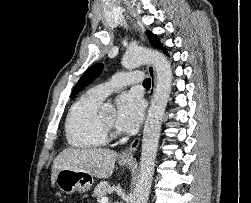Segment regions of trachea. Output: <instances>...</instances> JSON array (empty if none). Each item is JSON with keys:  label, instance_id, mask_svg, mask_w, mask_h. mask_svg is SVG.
Instances as JSON below:
<instances>
[{"label": "trachea", "instance_id": "1", "mask_svg": "<svg viewBox=\"0 0 251 203\" xmlns=\"http://www.w3.org/2000/svg\"><path fill=\"white\" fill-rule=\"evenodd\" d=\"M151 85V80L150 78H146L144 81H143V86H149L150 87Z\"/></svg>", "mask_w": 251, "mask_h": 203}]
</instances>
